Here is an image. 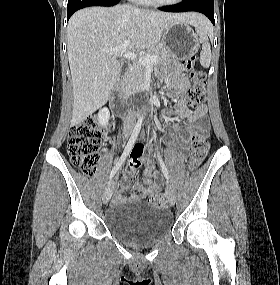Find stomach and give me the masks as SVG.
Instances as JSON below:
<instances>
[{"label": "stomach", "instance_id": "0dacf381", "mask_svg": "<svg viewBox=\"0 0 280 285\" xmlns=\"http://www.w3.org/2000/svg\"><path fill=\"white\" fill-rule=\"evenodd\" d=\"M161 43L171 55L181 59L196 54L200 46V40L195 32L186 23L180 21L166 27Z\"/></svg>", "mask_w": 280, "mask_h": 285}]
</instances>
